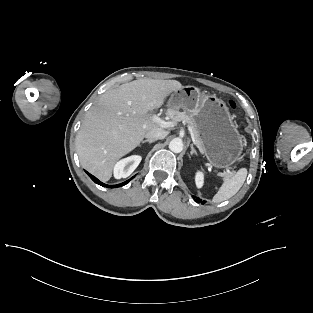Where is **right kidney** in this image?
<instances>
[{
  "label": "right kidney",
  "instance_id": "1",
  "mask_svg": "<svg viewBox=\"0 0 313 313\" xmlns=\"http://www.w3.org/2000/svg\"><path fill=\"white\" fill-rule=\"evenodd\" d=\"M141 156L133 155L117 162L114 166V177L116 179L130 176L141 162Z\"/></svg>",
  "mask_w": 313,
  "mask_h": 313
}]
</instances>
